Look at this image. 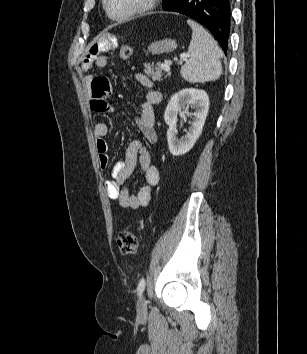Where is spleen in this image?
Masks as SVG:
<instances>
[{
	"label": "spleen",
	"instance_id": "3e777b00",
	"mask_svg": "<svg viewBox=\"0 0 307 354\" xmlns=\"http://www.w3.org/2000/svg\"><path fill=\"white\" fill-rule=\"evenodd\" d=\"M187 23L192 28L189 45V60L181 67V76L191 83H205L217 80L222 74V52L214 38L192 20Z\"/></svg>",
	"mask_w": 307,
	"mask_h": 354
}]
</instances>
